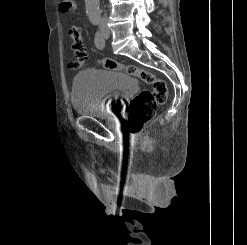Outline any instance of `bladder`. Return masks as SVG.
<instances>
[{
	"mask_svg": "<svg viewBox=\"0 0 247 245\" xmlns=\"http://www.w3.org/2000/svg\"><path fill=\"white\" fill-rule=\"evenodd\" d=\"M136 88V80L127 73L106 68L85 69L74 77L72 107L80 115L104 117L117 113L122 101Z\"/></svg>",
	"mask_w": 247,
	"mask_h": 245,
	"instance_id": "obj_1",
	"label": "bladder"
}]
</instances>
